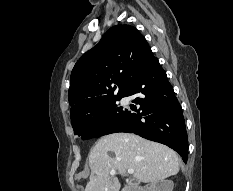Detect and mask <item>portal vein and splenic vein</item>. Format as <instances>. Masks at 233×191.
<instances>
[{
  "instance_id": "portal-vein-and-splenic-vein-1",
  "label": "portal vein and splenic vein",
  "mask_w": 233,
  "mask_h": 191,
  "mask_svg": "<svg viewBox=\"0 0 233 191\" xmlns=\"http://www.w3.org/2000/svg\"><path fill=\"white\" fill-rule=\"evenodd\" d=\"M128 173L129 174H134V169H128ZM115 174H116L115 170L110 171V175L111 176H114Z\"/></svg>"
}]
</instances>
